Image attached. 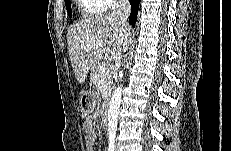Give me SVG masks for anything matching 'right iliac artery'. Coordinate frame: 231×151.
Returning <instances> with one entry per match:
<instances>
[{
  "instance_id": "right-iliac-artery-1",
  "label": "right iliac artery",
  "mask_w": 231,
  "mask_h": 151,
  "mask_svg": "<svg viewBox=\"0 0 231 151\" xmlns=\"http://www.w3.org/2000/svg\"><path fill=\"white\" fill-rule=\"evenodd\" d=\"M114 146H109L108 151H114Z\"/></svg>"
}]
</instances>
